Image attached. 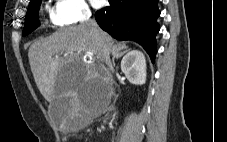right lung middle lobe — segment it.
I'll return each mask as SVG.
<instances>
[{
  "mask_svg": "<svg viewBox=\"0 0 227 142\" xmlns=\"http://www.w3.org/2000/svg\"><path fill=\"white\" fill-rule=\"evenodd\" d=\"M42 0H35L29 3L25 18L23 36L31 33L39 26L38 11Z\"/></svg>",
  "mask_w": 227,
  "mask_h": 142,
  "instance_id": "1",
  "label": "right lung middle lobe"
}]
</instances>
